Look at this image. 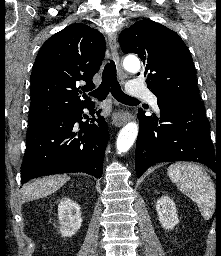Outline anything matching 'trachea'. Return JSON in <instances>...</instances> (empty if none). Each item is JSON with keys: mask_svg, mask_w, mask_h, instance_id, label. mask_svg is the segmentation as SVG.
<instances>
[{"mask_svg": "<svg viewBox=\"0 0 221 256\" xmlns=\"http://www.w3.org/2000/svg\"><path fill=\"white\" fill-rule=\"evenodd\" d=\"M109 91L119 102L129 103L137 101V99L128 96L122 91L117 80L116 66L113 61H110L105 65L100 86L94 91L90 92L89 95L97 98L98 100H102L106 98Z\"/></svg>", "mask_w": 221, "mask_h": 256, "instance_id": "trachea-1", "label": "trachea"}]
</instances>
